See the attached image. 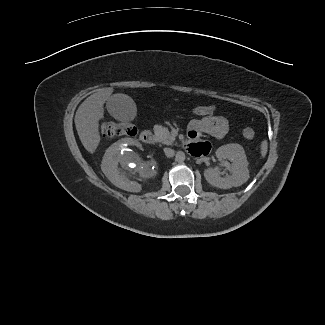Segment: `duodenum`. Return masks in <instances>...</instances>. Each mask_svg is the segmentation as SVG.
<instances>
[{"instance_id":"1","label":"duodenum","mask_w":325,"mask_h":325,"mask_svg":"<svg viewBox=\"0 0 325 325\" xmlns=\"http://www.w3.org/2000/svg\"><path fill=\"white\" fill-rule=\"evenodd\" d=\"M140 141L145 144H151L154 141V135L149 130H144L140 133Z\"/></svg>"}]
</instances>
